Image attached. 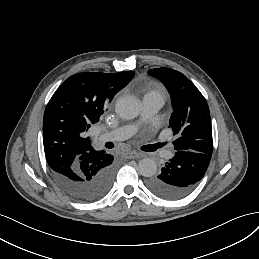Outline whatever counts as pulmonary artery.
<instances>
[{
  "mask_svg": "<svg viewBox=\"0 0 259 259\" xmlns=\"http://www.w3.org/2000/svg\"><path fill=\"white\" fill-rule=\"evenodd\" d=\"M165 104L164 96H152L148 98H144L142 100V116L144 118L153 116L156 114ZM135 128L133 126H122L115 130L105 133L104 135H100L98 137L99 141L102 140H114V141H122L126 140L132 136ZM169 155L166 156L167 159L172 157V153L169 150Z\"/></svg>",
  "mask_w": 259,
  "mask_h": 259,
  "instance_id": "1",
  "label": "pulmonary artery"
}]
</instances>
